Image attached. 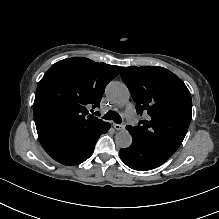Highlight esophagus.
Masks as SVG:
<instances>
[{
    "label": "esophagus",
    "mask_w": 219,
    "mask_h": 219,
    "mask_svg": "<svg viewBox=\"0 0 219 219\" xmlns=\"http://www.w3.org/2000/svg\"><path fill=\"white\" fill-rule=\"evenodd\" d=\"M113 127H114L116 130L122 131V130L125 129V124H113Z\"/></svg>",
    "instance_id": "34e87169"
}]
</instances>
